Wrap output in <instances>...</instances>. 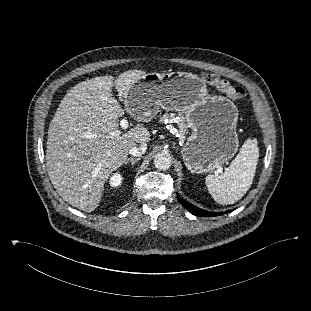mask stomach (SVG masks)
Returning a JSON list of instances; mask_svg holds the SVG:
<instances>
[{
	"label": "stomach",
	"mask_w": 311,
	"mask_h": 311,
	"mask_svg": "<svg viewBox=\"0 0 311 311\" xmlns=\"http://www.w3.org/2000/svg\"><path fill=\"white\" fill-rule=\"evenodd\" d=\"M126 102L129 112L144 121L160 108L183 113L192 134L181 155L192 173L212 171L238 150L237 107L225 97L209 95L205 82L193 73H148L130 88Z\"/></svg>",
	"instance_id": "1"
}]
</instances>
